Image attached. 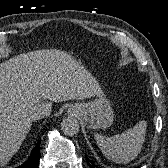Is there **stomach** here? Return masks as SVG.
<instances>
[{
  "label": "stomach",
  "mask_w": 168,
  "mask_h": 168,
  "mask_svg": "<svg viewBox=\"0 0 168 168\" xmlns=\"http://www.w3.org/2000/svg\"><path fill=\"white\" fill-rule=\"evenodd\" d=\"M80 108L81 111H77ZM69 112L81 116L89 128H107L114 120L113 109L106 97L101 94L94 101L71 105Z\"/></svg>",
  "instance_id": "0dacf381"
}]
</instances>
